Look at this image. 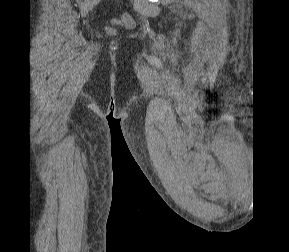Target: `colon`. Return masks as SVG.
Wrapping results in <instances>:
<instances>
[{
  "label": "colon",
  "instance_id": "5ec220e1",
  "mask_svg": "<svg viewBox=\"0 0 289 252\" xmlns=\"http://www.w3.org/2000/svg\"><path fill=\"white\" fill-rule=\"evenodd\" d=\"M120 23L124 26H131L132 25V19L129 15H124L122 19L120 20Z\"/></svg>",
  "mask_w": 289,
  "mask_h": 252
}]
</instances>
